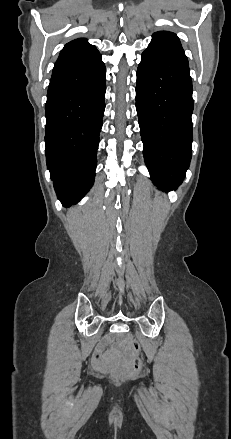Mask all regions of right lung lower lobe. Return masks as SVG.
Masks as SVG:
<instances>
[{
  "label": "right lung lower lobe",
  "mask_w": 231,
  "mask_h": 439,
  "mask_svg": "<svg viewBox=\"0 0 231 439\" xmlns=\"http://www.w3.org/2000/svg\"><path fill=\"white\" fill-rule=\"evenodd\" d=\"M106 68L101 56L52 76L47 93L46 162L58 198L69 206L90 190L105 110Z\"/></svg>",
  "instance_id": "1"
}]
</instances>
